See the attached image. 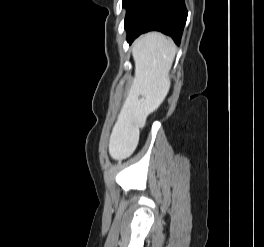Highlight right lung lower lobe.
Listing matches in <instances>:
<instances>
[{
	"instance_id": "1",
	"label": "right lung lower lobe",
	"mask_w": 264,
	"mask_h": 247,
	"mask_svg": "<svg viewBox=\"0 0 264 247\" xmlns=\"http://www.w3.org/2000/svg\"><path fill=\"white\" fill-rule=\"evenodd\" d=\"M127 39L148 31H160L180 44L187 19L184 0H131L127 5Z\"/></svg>"
}]
</instances>
